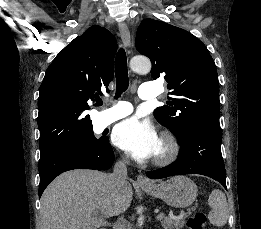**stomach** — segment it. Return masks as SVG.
<instances>
[{
    "label": "stomach",
    "instance_id": "1",
    "mask_svg": "<svg viewBox=\"0 0 261 229\" xmlns=\"http://www.w3.org/2000/svg\"><path fill=\"white\" fill-rule=\"evenodd\" d=\"M145 193H148L150 197L155 199H162L164 203L170 205V207H176V209H185L190 207L194 203L198 189L187 177H172L160 185H154V187H142Z\"/></svg>",
    "mask_w": 261,
    "mask_h": 229
}]
</instances>
